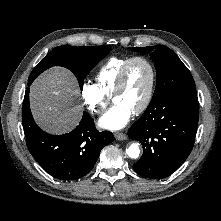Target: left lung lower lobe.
<instances>
[{"label":"left lung lower lobe","instance_id":"left-lung-lower-lobe-1","mask_svg":"<svg viewBox=\"0 0 221 221\" xmlns=\"http://www.w3.org/2000/svg\"><path fill=\"white\" fill-rule=\"evenodd\" d=\"M198 117L196 89L149 104L128 131V137L143 146L134 171L150 179H162L175 172L194 146Z\"/></svg>","mask_w":221,"mask_h":221}]
</instances>
